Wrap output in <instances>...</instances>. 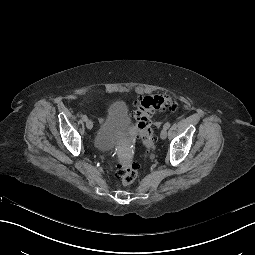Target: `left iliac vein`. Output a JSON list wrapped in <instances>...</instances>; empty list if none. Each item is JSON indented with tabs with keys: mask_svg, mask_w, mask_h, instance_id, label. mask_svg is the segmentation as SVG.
<instances>
[{
	"mask_svg": "<svg viewBox=\"0 0 255 255\" xmlns=\"http://www.w3.org/2000/svg\"><path fill=\"white\" fill-rule=\"evenodd\" d=\"M160 137L162 140L166 139L167 137V129L163 128L160 133Z\"/></svg>",
	"mask_w": 255,
	"mask_h": 255,
	"instance_id": "1",
	"label": "left iliac vein"
}]
</instances>
